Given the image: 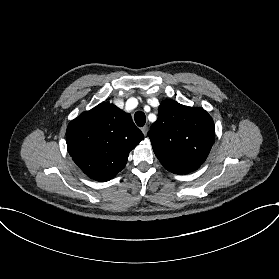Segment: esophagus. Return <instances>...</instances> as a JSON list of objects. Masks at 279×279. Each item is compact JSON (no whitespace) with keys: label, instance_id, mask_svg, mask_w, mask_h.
Masks as SVG:
<instances>
[{"label":"esophagus","instance_id":"1","mask_svg":"<svg viewBox=\"0 0 279 279\" xmlns=\"http://www.w3.org/2000/svg\"><path fill=\"white\" fill-rule=\"evenodd\" d=\"M141 131H142V133L146 136V135H147V132H148V126L146 125V126L142 127V128H141Z\"/></svg>","mask_w":279,"mask_h":279}]
</instances>
